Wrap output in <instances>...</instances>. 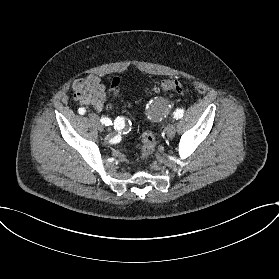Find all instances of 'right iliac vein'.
<instances>
[{
    "label": "right iliac vein",
    "mask_w": 279,
    "mask_h": 279,
    "mask_svg": "<svg viewBox=\"0 0 279 279\" xmlns=\"http://www.w3.org/2000/svg\"><path fill=\"white\" fill-rule=\"evenodd\" d=\"M90 118H91L92 120H94V121H97L98 130L103 131V126H102V124L99 122V117H98V115L95 114V113H92V114L90 115Z\"/></svg>",
    "instance_id": "1"
}]
</instances>
